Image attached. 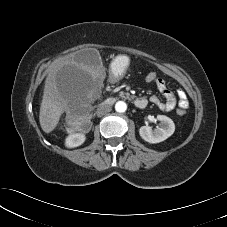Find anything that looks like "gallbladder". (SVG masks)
<instances>
[{
	"label": "gallbladder",
	"instance_id": "1",
	"mask_svg": "<svg viewBox=\"0 0 227 227\" xmlns=\"http://www.w3.org/2000/svg\"><path fill=\"white\" fill-rule=\"evenodd\" d=\"M76 60L82 62L85 66L98 67L100 66V55L95 49H84L81 50L77 56Z\"/></svg>",
	"mask_w": 227,
	"mask_h": 227
}]
</instances>
